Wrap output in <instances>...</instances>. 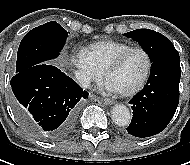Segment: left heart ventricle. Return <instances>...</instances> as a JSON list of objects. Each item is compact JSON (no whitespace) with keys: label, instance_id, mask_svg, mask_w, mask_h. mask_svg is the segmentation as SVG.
Returning a JSON list of instances; mask_svg holds the SVG:
<instances>
[{"label":"left heart ventricle","instance_id":"left-heart-ventricle-1","mask_svg":"<svg viewBox=\"0 0 190 165\" xmlns=\"http://www.w3.org/2000/svg\"><path fill=\"white\" fill-rule=\"evenodd\" d=\"M146 57L140 51L129 53L119 67L108 77L107 82L116 91H125L134 87L146 70Z\"/></svg>","mask_w":190,"mask_h":165}]
</instances>
